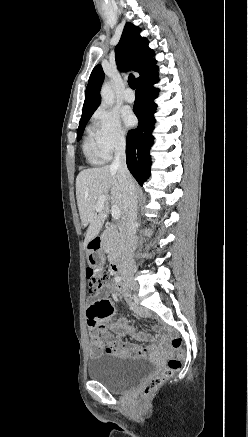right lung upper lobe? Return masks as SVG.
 Here are the masks:
<instances>
[{
  "instance_id": "obj_1",
  "label": "right lung upper lobe",
  "mask_w": 248,
  "mask_h": 437,
  "mask_svg": "<svg viewBox=\"0 0 248 437\" xmlns=\"http://www.w3.org/2000/svg\"><path fill=\"white\" fill-rule=\"evenodd\" d=\"M140 31L138 27L127 22L121 39L115 48L116 62L120 71L133 70L138 72L140 76L137 81L156 66V61L153 59L154 52L148 47V40L140 36ZM103 80V69L101 65H97L88 81L81 120L92 116L99 106L101 101L100 88Z\"/></svg>"
}]
</instances>
